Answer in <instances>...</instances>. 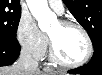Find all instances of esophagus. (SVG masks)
Segmentation results:
<instances>
[{
  "label": "esophagus",
  "instance_id": "obj_1",
  "mask_svg": "<svg viewBox=\"0 0 102 75\" xmlns=\"http://www.w3.org/2000/svg\"><path fill=\"white\" fill-rule=\"evenodd\" d=\"M44 71H45V72H51L52 69H50L49 67H46V68H44Z\"/></svg>",
  "mask_w": 102,
  "mask_h": 75
}]
</instances>
